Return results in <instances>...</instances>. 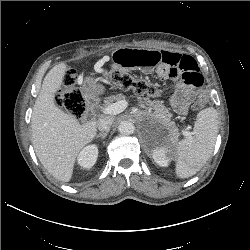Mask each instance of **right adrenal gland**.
Here are the masks:
<instances>
[{
    "mask_svg": "<svg viewBox=\"0 0 250 250\" xmlns=\"http://www.w3.org/2000/svg\"><path fill=\"white\" fill-rule=\"evenodd\" d=\"M108 132H109V131H106V132H104V133H99V134L96 136V138L101 137L102 139H105V137L107 136Z\"/></svg>",
    "mask_w": 250,
    "mask_h": 250,
    "instance_id": "right-adrenal-gland-1",
    "label": "right adrenal gland"
}]
</instances>
